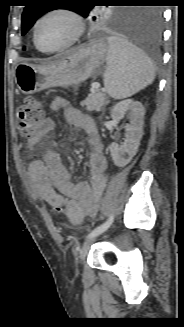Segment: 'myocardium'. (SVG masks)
Segmentation results:
<instances>
[{
    "label": "myocardium",
    "mask_w": 184,
    "mask_h": 327,
    "mask_svg": "<svg viewBox=\"0 0 184 327\" xmlns=\"http://www.w3.org/2000/svg\"><path fill=\"white\" fill-rule=\"evenodd\" d=\"M55 14L65 15L71 19V21L74 24V29H75L74 34L68 42H66L65 44H63L59 47L50 48V49L44 48L38 42L37 30H38L40 23L44 19H46L47 17H49L51 15H55ZM84 32H85L84 21H83L82 17L76 11H74L70 8H67V7H56V8H52V9L46 11L35 21L34 26H33V41H34L35 46L40 51L45 52V53H55V52H60V51L66 50V49L72 47L73 45H75L77 42L80 41V39L84 35Z\"/></svg>",
    "instance_id": "obj_1"
}]
</instances>
